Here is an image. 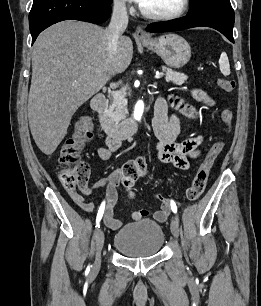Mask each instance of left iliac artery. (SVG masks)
Wrapping results in <instances>:
<instances>
[{"label":"left iliac artery","mask_w":261,"mask_h":306,"mask_svg":"<svg viewBox=\"0 0 261 306\" xmlns=\"http://www.w3.org/2000/svg\"><path fill=\"white\" fill-rule=\"evenodd\" d=\"M171 209L174 213H177V206L173 200H171Z\"/></svg>","instance_id":"1"}]
</instances>
